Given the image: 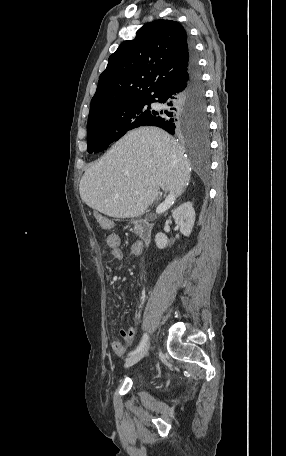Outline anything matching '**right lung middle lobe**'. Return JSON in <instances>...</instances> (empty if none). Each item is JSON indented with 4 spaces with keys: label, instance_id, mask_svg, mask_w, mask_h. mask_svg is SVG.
Listing matches in <instances>:
<instances>
[{
    "label": "right lung middle lobe",
    "instance_id": "dd1d6c3e",
    "mask_svg": "<svg viewBox=\"0 0 286 456\" xmlns=\"http://www.w3.org/2000/svg\"><path fill=\"white\" fill-rule=\"evenodd\" d=\"M152 102L154 100L116 104L89 119L87 123L88 152L103 151L127 131L147 125L155 114L154 110H150ZM193 130L207 132L206 125H195Z\"/></svg>",
    "mask_w": 286,
    "mask_h": 456
}]
</instances>
